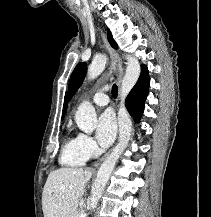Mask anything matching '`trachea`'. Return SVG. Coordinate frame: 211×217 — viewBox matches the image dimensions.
Returning a JSON list of instances; mask_svg holds the SVG:
<instances>
[{
	"instance_id": "3493384b",
	"label": "trachea",
	"mask_w": 211,
	"mask_h": 217,
	"mask_svg": "<svg viewBox=\"0 0 211 217\" xmlns=\"http://www.w3.org/2000/svg\"><path fill=\"white\" fill-rule=\"evenodd\" d=\"M117 94H118V88H117V86L114 84L113 87H112V96H113V97H117Z\"/></svg>"
}]
</instances>
